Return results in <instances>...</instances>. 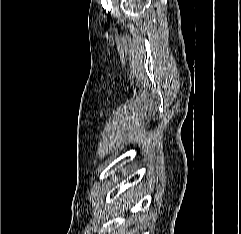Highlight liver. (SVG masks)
<instances>
[{
    "instance_id": "obj_1",
    "label": "liver",
    "mask_w": 241,
    "mask_h": 234,
    "mask_svg": "<svg viewBox=\"0 0 241 234\" xmlns=\"http://www.w3.org/2000/svg\"><path fill=\"white\" fill-rule=\"evenodd\" d=\"M124 196H125V198L126 197L128 198L129 197V193L127 192ZM127 206H128V204H127Z\"/></svg>"
}]
</instances>
